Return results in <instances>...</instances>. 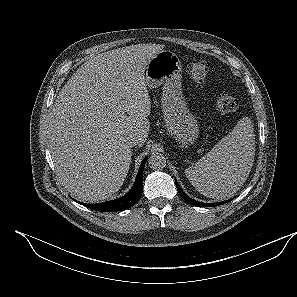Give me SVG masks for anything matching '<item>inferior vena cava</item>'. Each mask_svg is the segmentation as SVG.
Here are the masks:
<instances>
[{"label":"inferior vena cava","instance_id":"obj_1","mask_svg":"<svg viewBox=\"0 0 297 297\" xmlns=\"http://www.w3.org/2000/svg\"><path fill=\"white\" fill-rule=\"evenodd\" d=\"M126 143L129 147H134L139 144V139L136 135H130L127 137Z\"/></svg>","mask_w":297,"mask_h":297}]
</instances>
